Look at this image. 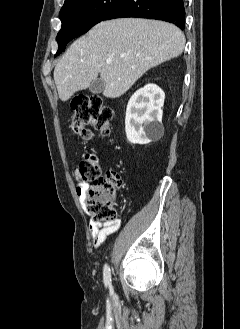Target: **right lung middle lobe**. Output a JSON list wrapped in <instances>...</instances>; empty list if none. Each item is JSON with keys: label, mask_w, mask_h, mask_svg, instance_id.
<instances>
[{"label": "right lung middle lobe", "mask_w": 240, "mask_h": 329, "mask_svg": "<svg viewBox=\"0 0 240 329\" xmlns=\"http://www.w3.org/2000/svg\"><path fill=\"white\" fill-rule=\"evenodd\" d=\"M122 0H73L64 5L59 13L62 22L57 35L60 54L73 38L87 32L116 7Z\"/></svg>", "instance_id": "right-lung-middle-lobe-1"}]
</instances>
